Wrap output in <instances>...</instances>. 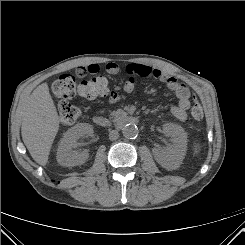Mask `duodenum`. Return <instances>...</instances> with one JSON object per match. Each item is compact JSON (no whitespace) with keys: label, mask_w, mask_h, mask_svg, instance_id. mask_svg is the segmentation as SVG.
Wrapping results in <instances>:
<instances>
[{"label":"duodenum","mask_w":245,"mask_h":245,"mask_svg":"<svg viewBox=\"0 0 245 245\" xmlns=\"http://www.w3.org/2000/svg\"><path fill=\"white\" fill-rule=\"evenodd\" d=\"M94 122L100 127H110L112 125L119 126L122 124H137L138 119L128 114H120L114 120H110L105 116L97 115L94 117Z\"/></svg>","instance_id":"duodenum-1"}]
</instances>
